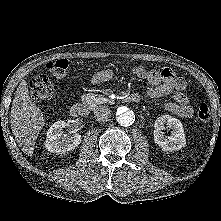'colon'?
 <instances>
[{
    "instance_id": "obj_1",
    "label": "colon",
    "mask_w": 221,
    "mask_h": 221,
    "mask_svg": "<svg viewBox=\"0 0 221 221\" xmlns=\"http://www.w3.org/2000/svg\"><path fill=\"white\" fill-rule=\"evenodd\" d=\"M46 68L54 76L63 78L66 76L69 63L66 59H59L46 64ZM30 88L32 97L37 101L53 100L57 96V90L49 79L44 75H37L31 79ZM210 110L206 105H200L197 111V119L202 125L209 123Z\"/></svg>"
}]
</instances>
